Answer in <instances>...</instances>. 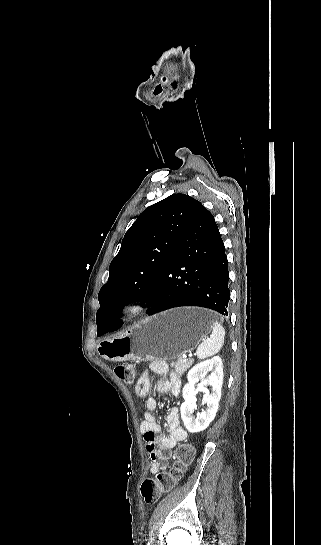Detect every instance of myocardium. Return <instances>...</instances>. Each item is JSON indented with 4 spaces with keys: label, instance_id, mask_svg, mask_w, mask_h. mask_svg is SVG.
<instances>
[{
    "label": "myocardium",
    "instance_id": "f54148a6",
    "mask_svg": "<svg viewBox=\"0 0 321 545\" xmlns=\"http://www.w3.org/2000/svg\"><path fill=\"white\" fill-rule=\"evenodd\" d=\"M148 303L145 300H132L122 307V314L128 319H134L146 312Z\"/></svg>",
    "mask_w": 321,
    "mask_h": 545
}]
</instances>
